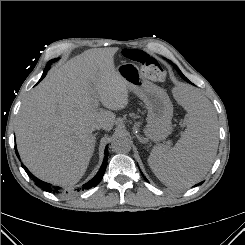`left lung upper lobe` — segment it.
Listing matches in <instances>:
<instances>
[{
	"label": "left lung upper lobe",
	"mask_w": 245,
	"mask_h": 245,
	"mask_svg": "<svg viewBox=\"0 0 245 245\" xmlns=\"http://www.w3.org/2000/svg\"><path fill=\"white\" fill-rule=\"evenodd\" d=\"M175 69L178 71V73L180 74V76L183 78V74L182 72L179 70V68L177 66H175Z\"/></svg>",
	"instance_id": "left-lung-upper-lobe-1"
}]
</instances>
